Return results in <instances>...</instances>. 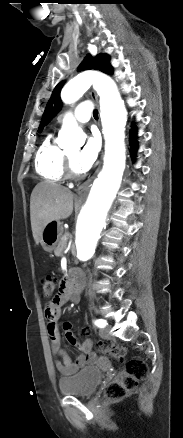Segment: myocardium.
<instances>
[{
    "label": "myocardium",
    "instance_id": "obj_1",
    "mask_svg": "<svg viewBox=\"0 0 183 438\" xmlns=\"http://www.w3.org/2000/svg\"><path fill=\"white\" fill-rule=\"evenodd\" d=\"M65 175L68 178L76 179L82 176V173L74 168L72 160L68 155H65Z\"/></svg>",
    "mask_w": 183,
    "mask_h": 438
}]
</instances>
